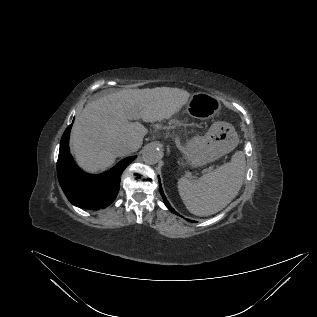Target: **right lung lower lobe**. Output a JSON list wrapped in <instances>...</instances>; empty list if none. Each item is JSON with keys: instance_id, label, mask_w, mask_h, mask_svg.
<instances>
[{"instance_id": "98d812e1", "label": "right lung lower lobe", "mask_w": 317, "mask_h": 317, "mask_svg": "<svg viewBox=\"0 0 317 317\" xmlns=\"http://www.w3.org/2000/svg\"><path fill=\"white\" fill-rule=\"evenodd\" d=\"M71 127L72 124L67 127L60 143L57 161L59 183L73 205L92 210L105 208L115 200L118 194L121 173L136 157L126 158L100 175L87 174L78 168L70 155Z\"/></svg>"}]
</instances>
